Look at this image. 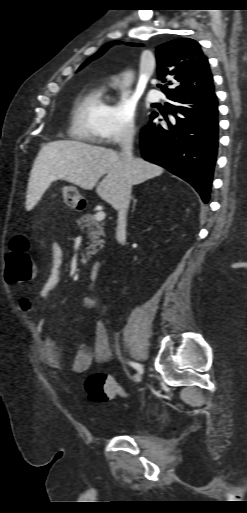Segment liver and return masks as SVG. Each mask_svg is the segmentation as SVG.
<instances>
[{"label": "liver", "instance_id": "obj_1", "mask_svg": "<svg viewBox=\"0 0 247 513\" xmlns=\"http://www.w3.org/2000/svg\"><path fill=\"white\" fill-rule=\"evenodd\" d=\"M164 169L141 158H134L128 170L122 153L73 140L49 142L36 157L28 182L26 209L38 203L49 185L56 180H66L83 189L91 190L99 179L96 192L112 204L122 184H140L160 176Z\"/></svg>", "mask_w": 247, "mask_h": 513}]
</instances>
